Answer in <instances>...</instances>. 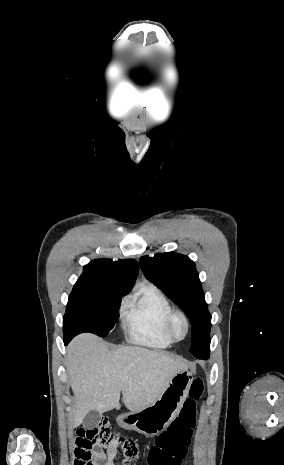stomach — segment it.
Returning a JSON list of instances; mask_svg holds the SVG:
<instances>
[{"instance_id": "1", "label": "stomach", "mask_w": 284, "mask_h": 465, "mask_svg": "<svg viewBox=\"0 0 284 465\" xmlns=\"http://www.w3.org/2000/svg\"><path fill=\"white\" fill-rule=\"evenodd\" d=\"M193 381L190 371H180L172 377L168 387L159 395L158 399L141 411L123 413L116 421L119 427L127 431H137L146 437H155L167 429L171 421L179 415L184 401H186Z\"/></svg>"}]
</instances>
